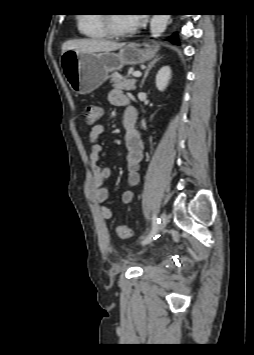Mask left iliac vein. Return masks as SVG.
I'll return each instance as SVG.
<instances>
[{"mask_svg":"<svg viewBox=\"0 0 254 355\" xmlns=\"http://www.w3.org/2000/svg\"><path fill=\"white\" fill-rule=\"evenodd\" d=\"M167 223H168V215L165 212H163L161 214V222L160 224H158V229H157L158 232L162 231L166 227Z\"/></svg>","mask_w":254,"mask_h":355,"instance_id":"4c4485c4","label":"left iliac vein"}]
</instances>
